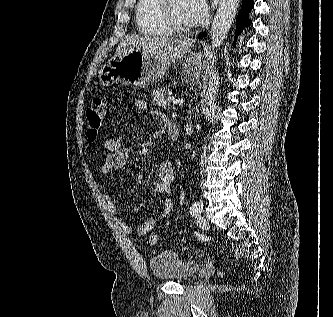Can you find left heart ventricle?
I'll return each instance as SVG.
<instances>
[{
  "instance_id": "b2bd125f",
  "label": "left heart ventricle",
  "mask_w": 333,
  "mask_h": 317,
  "mask_svg": "<svg viewBox=\"0 0 333 317\" xmlns=\"http://www.w3.org/2000/svg\"><path fill=\"white\" fill-rule=\"evenodd\" d=\"M173 19L177 24L183 27L194 25L189 10L188 0H174L172 4Z\"/></svg>"
}]
</instances>
